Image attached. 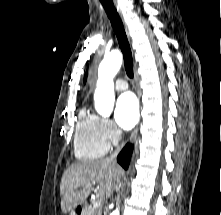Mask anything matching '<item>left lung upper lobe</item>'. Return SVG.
<instances>
[{
	"mask_svg": "<svg viewBox=\"0 0 221 215\" xmlns=\"http://www.w3.org/2000/svg\"><path fill=\"white\" fill-rule=\"evenodd\" d=\"M86 78H87V73L84 76V82H86Z\"/></svg>",
	"mask_w": 221,
	"mask_h": 215,
	"instance_id": "5c2ea615",
	"label": "left lung upper lobe"
}]
</instances>
